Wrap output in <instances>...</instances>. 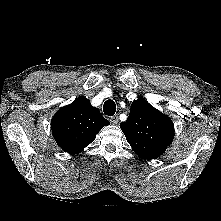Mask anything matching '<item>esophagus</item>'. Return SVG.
I'll use <instances>...</instances> for the list:
<instances>
[{
	"label": "esophagus",
	"instance_id": "obj_1",
	"mask_svg": "<svg viewBox=\"0 0 221 221\" xmlns=\"http://www.w3.org/2000/svg\"><path fill=\"white\" fill-rule=\"evenodd\" d=\"M110 122L113 123V124H117L118 123V116H112L110 118Z\"/></svg>",
	"mask_w": 221,
	"mask_h": 221
}]
</instances>
